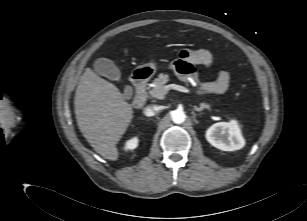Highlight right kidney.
Segmentation results:
<instances>
[{
    "label": "right kidney",
    "instance_id": "right-kidney-1",
    "mask_svg": "<svg viewBox=\"0 0 307 221\" xmlns=\"http://www.w3.org/2000/svg\"><path fill=\"white\" fill-rule=\"evenodd\" d=\"M138 146V138L134 137L125 143L124 150H133Z\"/></svg>",
    "mask_w": 307,
    "mask_h": 221
}]
</instances>
